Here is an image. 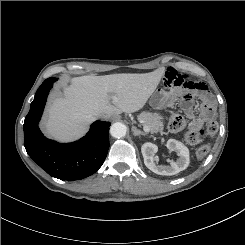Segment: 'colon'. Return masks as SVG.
<instances>
[{
  "label": "colon",
  "mask_w": 245,
  "mask_h": 245,
  "mask_svg": "<svg viewBox=\"0 0 245 245\" xmlns=\"http://www.w3.org/2000/svg\"><path fill=\"white\" fill-rule=\"evenodd\" d=\"M169 126L172 131L175 132H184L185 140L190 145L200 144L204 137L213 136L218 130V124L214 120H208L203 128L200 130L188 129L186 121L184 118L178 114L171 116L169 121ZM209 152V147L207 145H202L196 150V156L198 159H203Z\"/></svg>",
  "instance_id": "5ec220e1"
}]
</instances>
